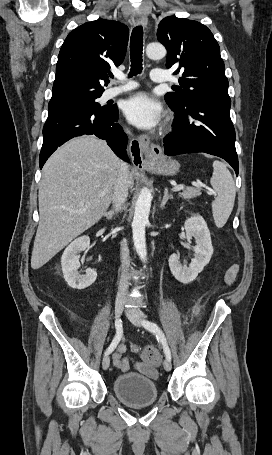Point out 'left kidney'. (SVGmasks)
Listing matches in <instances>:
<instances>
[{
	"instance_id": "5707ae66",
	"label": "left kidney",
	"mask_w": 272,
	"mask_h": 455,
	"mask_svg": "<svg viewBox=\"0 0 272 455\" xmlns=\"http://www.w3.org/2000/svg\"><path fill=\"white\" fill-rule=\"evenodd\" d=\"M186 237L188 242L195 238L196 246L194 249V258L191 260L189 267L182 266L177 254L169 257V267L173 276L181 283L188 284L195 280L197 275L209 263L213 254L211 236L207 224L202 216L195 215L188 218L184 223Z\"/></svg>"
}]
</instances>
